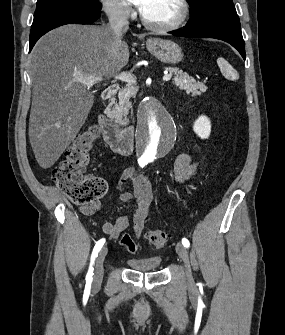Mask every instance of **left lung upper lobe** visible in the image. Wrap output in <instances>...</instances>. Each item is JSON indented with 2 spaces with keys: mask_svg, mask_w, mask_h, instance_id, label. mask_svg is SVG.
<instances>
[{
  "mask_svg": "<svg viewBox=\"0 0 285 335\" xmlns=\"http://www.w3.org/2000/svg\"><path fill=\"white\" fill-rule=\"evenodd\" d=\"M190 4L191 15L200 11L208 4H233L232 0H187Z\"/></svg>",
  "mask_w": 285,
  "mask_h": 335,
  "instance_id": "5c2ea615",
  "label": "left lung upper lobe"
}]
</instances>
